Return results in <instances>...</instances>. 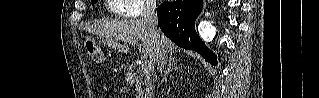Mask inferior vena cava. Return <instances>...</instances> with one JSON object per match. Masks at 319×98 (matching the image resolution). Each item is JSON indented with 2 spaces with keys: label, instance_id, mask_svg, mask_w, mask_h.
<instances>
[{
  "label": "inferior vena cava",
  "instance_id": "602c4592",
  "mask_svg": "<svg viewBox=\"0 0 319 98\" xmlns=\"http://www.w3.org/2000/svg\"><path fill=\"white\" fill-rule=\"evenodd\" d=\"M156 10V3L154 0H146L144 4V8L141 14V19L146 25L148 31L159 38V49H158V57H157V69L160 73L163 72L166 63H167V51L165 46L163 45L162 40H160L161 32L157 26L158 18L157 14L155 13Z\"/></svg>",
  "mask_w": 319,
  "mask_h": 98
}]
</instances>
